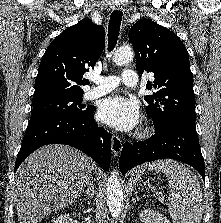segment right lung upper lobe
<instances>
[{
  "mask_svg": "<svg viewBox=\"0 0 221 223\" xmlns=\"http://www.w3.org/2000/svg\"><path fill=\"white\" fill-rule=\"evenodd\" d=\"M105 46V31L91 20L68 27L48 46L35 80L32 103L84 93L83 74L94 67Z\"/></svg>",
  "mask_w": 221,
  "mask_h": 223,
  "instance_id": "right-lung-upper-lobe-1",
  "label": "right lung upper lobe"
}]
</instances>
